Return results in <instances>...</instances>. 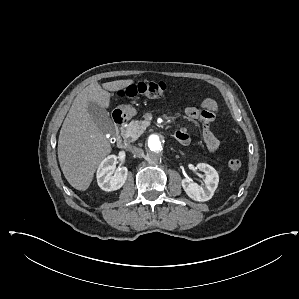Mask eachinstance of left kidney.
Masks as SVG:
<instances>
[{
    "instance_id": "1",
    "label": "left kidney",
    "mask_w": 299,
    "mask_h": 299,
    "mask_svg": "<svg viewBox=\"0 0 299 299\" xmlns=\"http://www.w3.org/2000/svg\"><path fill=\"white\" fill-rule=\"evenodd\" d=\"M196 169L205 173L204 186L202 187L187 178L183 179L181 184L184 191L191 199L198 202H205L212 198L217 189L219 175L212 166L206 163H198Z\"/></svg>"
}]
</instances>
